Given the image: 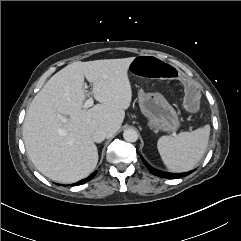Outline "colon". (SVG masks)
Returning a JSON list of instances; mask_svg holds the SVG:
<instances>
[{
	"label": "colon",
	"mask_w": 241,
	"mask_h": 241,
	"mask_svg": "<svg viewBox=\"0 0 241 241\" xmlns=\"http://www.w3.org/2000/svg\"><path fill=\"white\" fill-rule=\"evenodd\" d=\"M130 70L135 75H141L145 78H160L164 86L177 87L182 93H185V107L195 112L199 106V88L192 83L190 76L178 71L173 66L159 57L153 55H139L130 63Z\"/></svg>",
	"instance_id": "5ec220e1"
}]
</instances>
